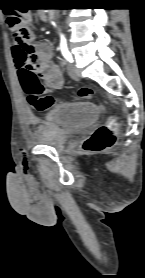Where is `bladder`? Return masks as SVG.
Returning <instances> with one entry per match:
<instances>
[{
	"instance_id": "1",
	"label": "bladder",
	"mask_w": 145,
	"mask_h": 278,
	"mask_svg": "<svg viewBox=\"0 0 145 278\" xmlns=\"http://www.w3.org/2000/svg\"><path fill=\"white\" fill-rule=\"evenodd\" d=\"M99 117L93 103H62L47 110L41 118L35 141L42 146L63 148L72 136L84 133Z\"/></svg>"
}]
</instances>
